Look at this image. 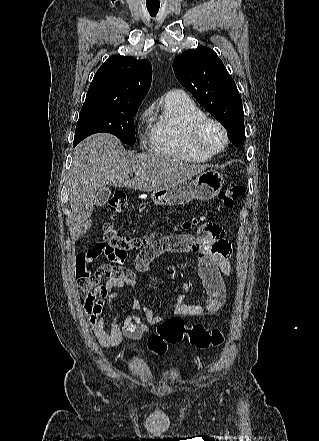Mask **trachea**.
<instances>
[{
	"mask_svg": "<svg viewBox=\"0 0 319 441\" xmlns=\"http://www.w3.org/2000/svg\"><path fill=\"white\" fill-rule=\"evenodd\" d=\"M159 7H160V5H159V6H158V5H148V6H147V9H148L149 14H150L152 17H155L156 14H157L158 11H159Z\"/></svg>",
	"mask_w": 319,
	"mask_h": 441,
	"instance_id": "3493384b",
	"label": "trachea"
}]
</instances>
